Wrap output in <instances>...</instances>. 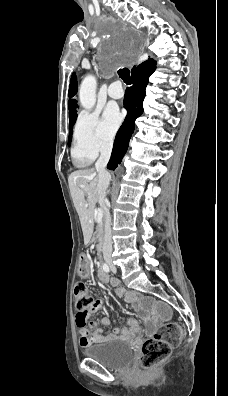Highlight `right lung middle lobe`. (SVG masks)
<instances>
[{
  "label": "right lung middle lobe",
  "instance_id": "dd1d6c3e",
  "mask_svg": "<svg viewBox=\"0 0 228 396\" xmlns=\"http://www.w3.org/2000/svg\"><path fill=\"white\" fill-rule=\"evenodd\" d=\"M69 116H70V123H69V125H70V127H72L73 124H74L75 121H76L77 114H76V112H73V113H69ZM71 137H72V130H71L70 135H69V144H70V142H71Z\"/></svg>",
  "mask_w": 228,
  "mask_h": 396
}]
</instances>
